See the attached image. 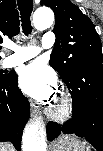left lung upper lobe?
<instances>
[{
    "mask_svg": "<svg viewBox=\"0 0 103 151\" xmlns=\"http://www.w3.org/2000/svg\"><path fill=\"white\" fill-rule=\"evenodd\" d=\"M41 5L55 13V47L50 65L67 82L73 73L85 80L92 77L87 69L90 60H103L102 45L92 21L70 0H41Z\"/></svg>",
    "mask_w": 103,
    "mask_h": 151,
    "instance_id": "left-lung-upper-lobe-1",
    "label": "left lung upper lobe"
}]
</instances>
